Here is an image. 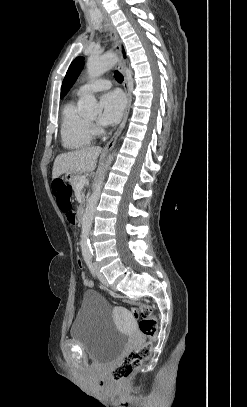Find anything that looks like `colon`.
Masks as SVG:
<instances>
[{
	"label": "colon",
	"instance_id": "5ec220e1",
	"mask_svg": "<svg viewBox=\"0 0 247 407\" xmlns=\"http://www.w3.org/2000/svg\"><path fill=\"white\" fill-rule=\"evenodd\" d=\"M52 191L57 199L60 210L66 215L72 211V188L63 180H55L52 183ZM124 302L132 306L133 313L139 319V330L148 338L138 348L130 351L124 358L112 369L111 378L115 382H123L135 370H137L152 353L153 341L157 333V320L154 316L153 307L145 302H140L134 298L124 297Z\"/></svg>",
	"mask_w": 247,
	"mask_h": 407
}]
</instances>
